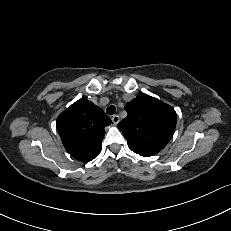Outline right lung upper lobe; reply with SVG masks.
I'll list each match as a JSON object with an SVG mask.
<instances>
[{"label":"right lung upper lobe","mask_w":231,"mask_h":231,"mask_svg":"<svg viewBox=\"0 0 231 231\" xmlns=\"http://www.w3.org/2000/svg\"><path fill=\"white\" fill-rule=\"evenodd\" d=\"M111 123L104 111L85 98L62 112L56 121L67 152L83 162L93 160L102 150L104 128Z\"/></svg>","instance_id":"cb5924a9"}]
</instances>
